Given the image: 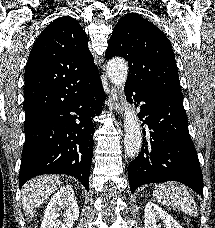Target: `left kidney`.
<instances>
[{
	"instance_id": "obj_1",
	"label": "left kidney",
	"mask_w": 215,
	"mask_h": 228,
	"mask_svg": "<svg viewBox=\"0 0 215 228\" xmlns=\"http://www.w3.org/2000/svg\"><path fill=\"white\" fill-rule=\"evenodd\" d=\"M144 226L145 228H182L172 216L166 214L162 208L153 202H148L145 206Z\"/></svg>"
}]
</instances>
